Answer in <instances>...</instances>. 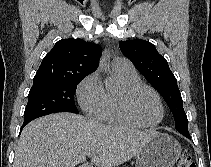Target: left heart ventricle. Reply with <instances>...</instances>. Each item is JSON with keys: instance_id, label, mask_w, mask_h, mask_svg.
Returning <instances> with one entry per match:
<instances>
[{"instance_id": "obj_1", "label": "left heart ventricle", "mask_w": 211, "mask_h": 167, "mask_svg": "<svg viewBox=\"0 0 211 167\" xmlns=\"http://www.w3.org/2000/svg\"><path fill=\"white\" fill-rule=\"evenodd\" d=\"M130 108L133 114L145 124L157 122L161 115L156 98L147 90H140L131 97Z\"/></svg>"}]
</instances>
